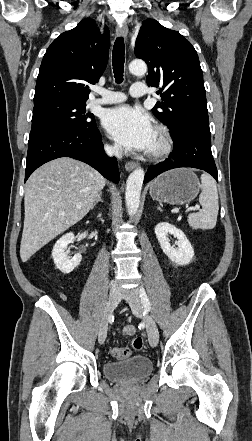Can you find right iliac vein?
Returning a JSON list of instances; mask_svg holds the SVG:
<instances>
[{
  "label": "right iliac vein",
  "mask_w": 252,
  "mask_h": 441,
  "mask_svg": "<svg viewBox=\"0 0 252 441\" xmlns=\"http://www.w3.org/2000/svg\"><path fill=\"white\" fill-rule=\"evenodd\" d=\"M121 298L122 293L120 291L116 289L110 291L108 302L99 327L98 340L100 344L104 343L107 336L109 316L112 314Z\"/></svg>",
  "instance_id": "1"
}]
</instances>
